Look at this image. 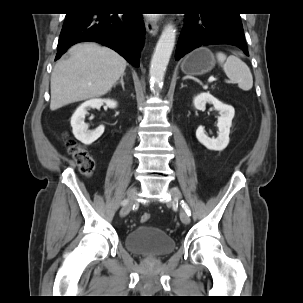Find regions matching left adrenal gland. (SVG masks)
<instances>
[{
  "label": "left adrenal gland",
  "mask_w": 303,
  "mask_h": 303,
  "mask_svg": "<svg viewBox=\"0 0 303 303\" xmlns=\"http://www.w3.org/2000/svg\"><path fill=\"white\" fill-rule=\"evenodd\" d=\"M185 85H183V83L181 84V88H183Z\"/></svg>",
  "instance_id": "1"
}]
</instances>
